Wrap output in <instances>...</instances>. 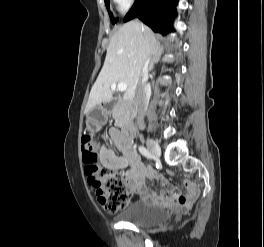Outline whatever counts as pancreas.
<instances>
[{"label": "pancreas", "mask_w": 264, "mask_h": 247, "mask_svg": "<svg viewBox=\"0 0 264 247\" xmlns=\"http://www.w3.org/2000/svg\"><path fill=\"white\" fill-rule=\"evenodd\" d=\"M128 102L120 100L113 108L112 116L117 124H122L129 117Z\"/></svg>", "instance_id": "obj_1"}]
</instances>
